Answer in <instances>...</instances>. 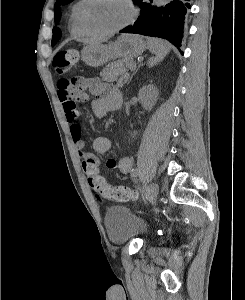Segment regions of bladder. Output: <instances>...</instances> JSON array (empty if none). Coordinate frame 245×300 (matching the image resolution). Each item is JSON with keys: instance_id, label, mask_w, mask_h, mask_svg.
<instances>
[{"instance_id": "31cf9c89", "label": "bladder", "mask_w": 245, "mask_h": 300, "mask_svg": "<svg viewBox=\"0 0 245 300\" xmlns=\"http://www.w3.org/2000/svg\"><path fill=\"white\" fill-rule=\"evenodd\" d=\"M105 228L111 242L121 244L147 233L145 222L128 208L115 206L105 214Z\"/></svg>"}]
</instances>
